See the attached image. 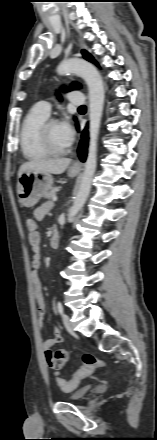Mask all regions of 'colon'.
<instances>
[{
    "mask_svg": "<svg viewBox=\"0 0 157 440\" xmlns=\"http://www.w3.org/2000/svg\"><path fill=\"white\" fill-rule=\"evenodd\" d=\"M26 228L29 233L37 232V222L34 218H28L26 220ZM61 353L60 349L56 350L54 354L59 356ZM105 366L104 362L94 356L93 354L86 353L83 355V366L74 374L72 379L66 381L61 377H57L56 382L60 389L69 392L78 387L81 380L87 377L95 369H102Z\"/></svg>",
    "mask_w": 157,
    "mask_h": 440,
    "instance_id": "1",
    "label": "colon"
}]
</instances>
